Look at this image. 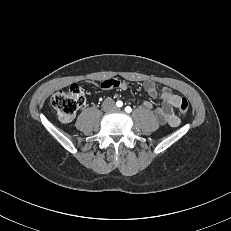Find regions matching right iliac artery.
<instances>
[{"mask_svg": "<svg viewBox=\"0 0 231 231\" xmlns=\"http://www.w3.org/2000/svg\"><path fill=\"white\" fill-rule=\"evenodd\" d=\"M116 105H117L118 107H121V106L123 105V103H122V101H117V102H116Z\"/></svg>", "mask_w": 231, "mask_h": 231, "instance_id": "82829eb1", "label": "right iliac artery"}]
</instances>
